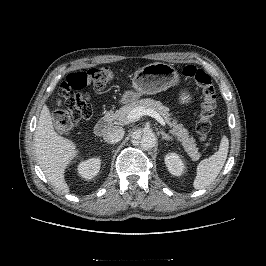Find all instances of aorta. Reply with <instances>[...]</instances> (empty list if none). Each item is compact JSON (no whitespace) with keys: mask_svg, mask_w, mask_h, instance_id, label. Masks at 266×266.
I'll return each instance as SVG.
<instances>
[{"mask_svg":"<svg viewBox=\"0 0 266 266\" xmlns=\"http://www.w3.org/2000/svg\"><path fill=\"white\" fill-rule=\"evenodd\" d=\"M132 143L140 145L144 150L152 149L156 144V136L151 130L135 131L132 135Z\"/></svg>","mask_w":266,"mask_h":266,"instance_id":"aorta-1","label":"aorta"}]
</instances>
